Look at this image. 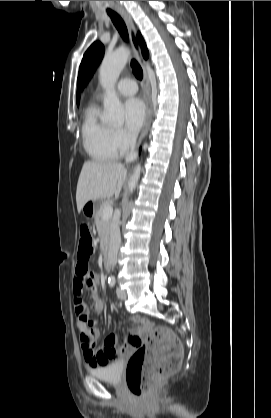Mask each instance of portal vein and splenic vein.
<instances>
[{
    "mask_svg": "<svg viewBox=\"0 0 271 418\" xmlns=\"http://www.w3.org/2000/svg\"><path fill=\"white\" fill-rule=\"evenodd\" d=\"M112 213H113V208H112V206H111L110 204H109V205H106V206L104 207V209H103V212H102V218H103L104 220H107V219L111 218Z\"/></svg>",
    "mask_w": 271,
    "mask_h": 418,
    "instance_id": "obj_1",
    "label": "portal vein and splenic vein"
}]
</instances>
